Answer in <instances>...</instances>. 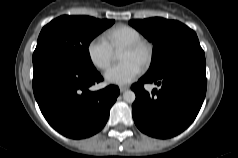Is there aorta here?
I'll list each match as a JSON object with an SVG mask.
<instances>
[{
    "label": "aorta",
    "instance_id": "aorta-1",
    "mask_svg": "<svg viewBox=\"0 0 238 158\" xmlns=\"http://www.w3.org/2000/svg\"><path fill=\"white\" fill-rule=\"evenodd\" d=\"M136 99V95L133 91L127 90L123 93V100L127 103H133Z\"/></svg>",
    "mask_w": 238,
    "mask_h": 158
}]
</instances>
